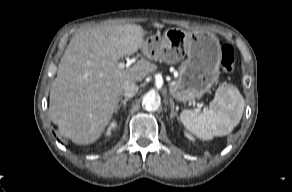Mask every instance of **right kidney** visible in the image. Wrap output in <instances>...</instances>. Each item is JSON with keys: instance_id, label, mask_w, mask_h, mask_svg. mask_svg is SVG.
Wrapping results in <instances>:
<instances>
[{"instance_id": "ca27d5eb", "label": "right kidney", "mask_w": 292, "mask_h": 192, "mask_svg": "<svg viewBox=\"0 0 292 192\" xmlns=\"http://www.w3.org/2000/svg\"><path fill=\"white\" fill-rule=\"evenodd\" d=\"M116 126H117V123H116V122H112V123L110 124V126H109V128H108L106 134H107V135H110L111 130H112V129H115Z\"/></svg>"}]
</instances>
